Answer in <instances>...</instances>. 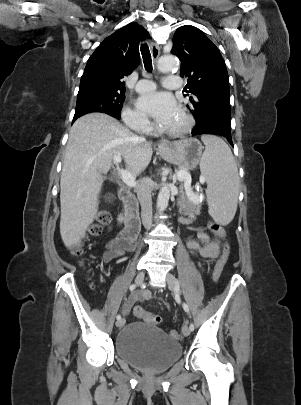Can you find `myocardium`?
<instances>
[{
	"instance_id": "myocardium-1",
	"label": "myocardium",
	"mask_w": 301,
	"mask_h": 405,
	"mask_svg": "<svg viewBox=\"0 0 301 405\" xmlns=\"http://www.w3.org/2000/svg\"><path fill=\"white\" fill-rule=\"evenodd\" d=\"M181 118H182V125L176 129H165L162 128L160 131L170 137H183L187 135L193 128L194 126V119L193 117L188 114V113H181Z\"/></svg>"
}]
</instances>
